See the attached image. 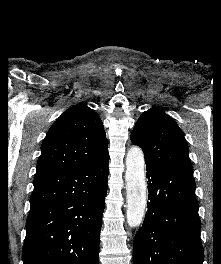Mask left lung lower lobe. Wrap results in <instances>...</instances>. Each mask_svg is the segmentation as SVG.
Returning <instances> with one entry per match:
<instances>
[{
	"label": "left lung lower lobe",
	"instance_id": "left-lung-lower-lobe-1",
	"mask_svg": "<svg viewBox=\"0 0 221 264\" xmlns=\"http://www.w3.org/2000/svg\"><path fill=\"white\" fill-rule=\"evenodd\" d=\"M146 170L150 202L134 238L133 264H203L193 175L153 163Z\"/></svg>",
	"mask_w": 221,
	"mask_h": 264
}]
</instances>
